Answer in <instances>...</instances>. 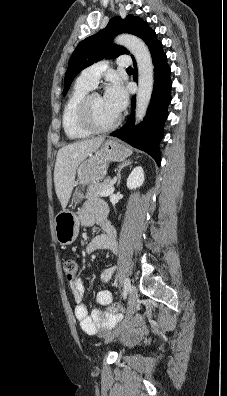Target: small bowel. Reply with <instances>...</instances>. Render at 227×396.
<instances>
[{"label":"small bowel","instance_id":"c3829d8e","mask_svg":"<svg viewBox=\"0 0 227 396\" xmlns=\"http://www.w3.org/2000/svg\"><path fill=\"white\" fill-rule=\"evenodd\" d=\"M79 219L84 226H92L94 223H98L102 228V232L93 237L88 243L87 252L91 253L97 250L115 252L117 250L116 231L107 220V207L102 201H88L79 211ZM114 271V267L104 269L101 273V281L103 283L109 282ZM69 287L76 304L74 309L75 317L86 334L105 336L122 322L123 315L121 311L113 313L108 309L95 308L89 312L85 302L86 288L81 278L73 280ZM112 301L113 295L109 290L97 292L96 302L98 305L109 306ZM147 333L148 328L143 323L142 318L139 317L127 325L123 338L128 342H136L147 335Z\"/></svg>","mask_w":227,"mask_h":396}]
</instances>
